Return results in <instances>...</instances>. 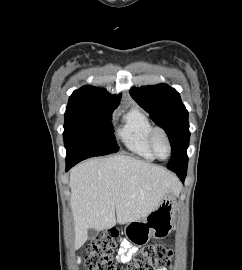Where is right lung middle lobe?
<instances>
[{
    "instance_id": "obj_1",
    "label": "right lung middle lobe",
    "mask_w": 242,
    "mask_h": 270,
    "mask_svg": "<svg viewBox=\"0 0 242 270\" xmlns=\"http://www.w3.org/2000/svg\"><path fill=\"white\" fill-rule=\"evenodd\" d=\"M115 108L65 112L63 137L67 150L66 163L118 151L111 123V114Z\"/></svg>"
}]
</instances>
